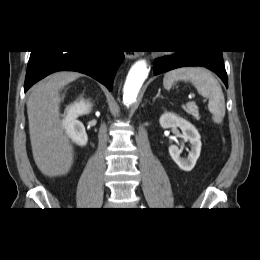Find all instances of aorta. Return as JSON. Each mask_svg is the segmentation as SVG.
Masks as SVG:
<instances>
[{
  "mask_svg": "<svg viewBox=\"0 0 260 260\" xmlns=\"http://www.w3.org/2000/svg\"><path fill=\"white\" fill-rule=\"evenodd\" d=\"M148 73L149 69L145 60H139L131 67L123 87V102L126 106L136 101Z\"/></svg>",
  "mask_w": 260,
  "mask_h": 260,
  "instance_id": "obj_1",
  "label": "aorta"
}]
</instances>
